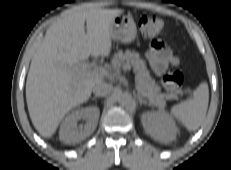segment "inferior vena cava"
<instances>
[{
  "label": "inferior vena cava",
  "mask_w": 231,
  "mask_h": 170,
  "mask_svg": "<svg viewBox=\"0 0 231 170\" xmlns=\"http://www.w3.org/2000/svg\"><path fill=\"white\" fill-rule=\"evenodd\" d=\"M112 90V85L104 82H98L93 87V93L96 96H105Z\"/></svg>",
  "instance_id": "obj_1"
}]
</instances>
